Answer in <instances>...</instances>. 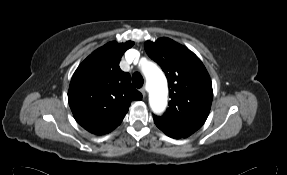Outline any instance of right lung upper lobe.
I'll list each match as a JSON object with an SVG mask.
<instances>
[{"instance_id": "right-lung-upper-lobe-1", "label": "right lung upper lobe", "mask_w": 287, "mask_h": 175, "mask_svg": "<svg viewBox=\"0 0 287 175\" xmlns=\"http://www.w3.org/2000/svg\"><path fill=\"white\" fill-rule=\"evenodd\" d=\"M134 42H109L90 54L71 79L68 101L76 121L87 131L103 135L114 130L130 104L142 94L130 82L119 62Z\"/></svg>"}]
</instances>
